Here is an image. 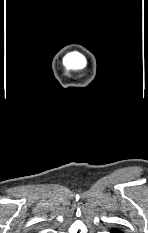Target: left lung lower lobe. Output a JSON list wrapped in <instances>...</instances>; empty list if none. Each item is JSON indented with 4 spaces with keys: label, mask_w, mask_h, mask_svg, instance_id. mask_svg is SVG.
<instances>
[{
    "label": "left lung lower lobe",
    "mask_w": 148,
    "mask_h": 233,
    "mask_svg": "<svg viewBox=\"0 0 148 233\" xmlns=\"http://www.w3.org/2000/svg\"><path fill=\"white\" fill-rule=\"evenodd\" d=\"M112 233H121V231L118 230V229H113V230H112Z\"/></svg>",
    "instance_id": "left-lung-lower-lobe-1"
}]
</instances>
